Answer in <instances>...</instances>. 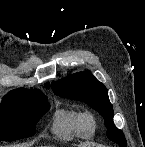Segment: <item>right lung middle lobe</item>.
<instances>
[{
    "mask_svg": "<svg viewBox=\"0 0 145 147\" xmlns=\"http://www.w3.org/2000/svg\"><path fill=\"white\" fill-rule=\"evenodd\" d=\"M50 105L39 90L9 94L0 105V142L14 141L35 134V125Z\"/></svg>",
    "mask_w": 145,
    "mask_h": 147,
    "instance_id": "right-lung-middle-lobe-1",
    "label": "right lung middle lobe"
}]
</instances>
